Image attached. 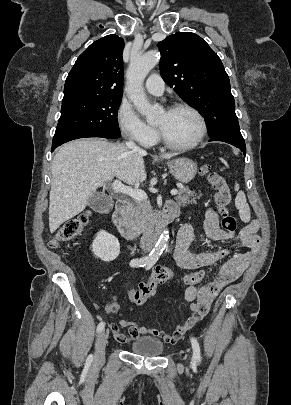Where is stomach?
I'll return each instance as SVG.
<instances>
[{
    "mask_svg": "<svg viewBox=\"0 0 291 405\" xmlns=\"http://www.w3.org/2000/svg\"><path fill=\"white\" fill-rule=\"evenodd\" d=\"M172 175L181 183L190 182L196 175L197 165L188 158H178L167 162Z\"/></svg>",
    "mask_w": 291,
    "mask_h": 405,
    "instance_id": "stomach-1",
    "label": "stomach"
}]
</instances>
